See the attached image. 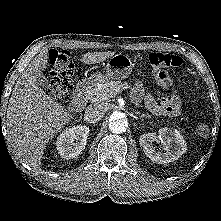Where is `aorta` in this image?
I'll return each instance as SVG.
<instances>
[{"mask_svg": "<svg viewBox=\"0 0 221 221\" xmlns=\"http://www.w3.org/2000/svg\"><path fill=\"white\" fill-rule=\"evenodd\" d=\"M128 120L121 112H113L109 119V129L112 133H124L128 128Z\"/></svg>", "mask_w": 221, "mask_h": 221, "instance_id": "1", "label": "aorta"}]
</instances>
